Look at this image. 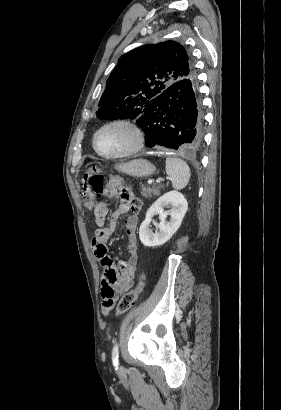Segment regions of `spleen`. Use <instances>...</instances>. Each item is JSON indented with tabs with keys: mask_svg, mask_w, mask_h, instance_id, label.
I'll return each mask as SVG.
<instances>
[{
	"mask_svg": "<svg viewBox=\"0 0 281 410\" xmlns=\"http://www.w3.org/2000/svg\"><path fill=\"white\" fill-rule=\"evenodd\" d=\"M165 169L174 189L180 190L187 186L190 179V168L185 161L168 157Z\"/></svg>",
	"mask_w": 281,
	"mask_h": 410,
	"instance_id": "spleen-1",
	"label": "spleen"
}]
</instances>
